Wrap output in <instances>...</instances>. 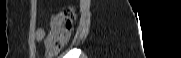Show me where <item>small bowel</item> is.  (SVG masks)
<instances>
[{
	"instance_id": "1",
	"label": "small bowel",
	"mask_w": 181,
	"mask_h": 58,
	"mask_svg": "<svg viewBox=\"0 0 181 58\" xmlns=\"http://www.w3.org/2000/svg\"><path fill=\"white\" fill-rule=\"evenodd\" d=\"M44 37H45V31H44V29H43V28H38V30H37V32H36V39H37L38 41H40V40H43Z\"/></svg>"
}]
</instances>
